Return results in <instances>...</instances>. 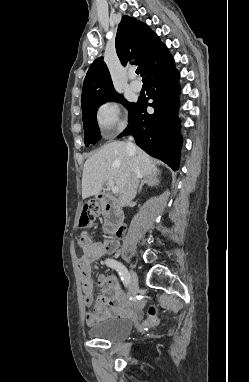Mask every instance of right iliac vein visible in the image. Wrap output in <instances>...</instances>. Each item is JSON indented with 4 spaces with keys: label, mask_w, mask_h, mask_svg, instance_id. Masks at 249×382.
Wrapping results in <instances>:
<instances>
[{
    "label": "right iliac vein",
    "mask_w": 249,
    "mask_h": 382,
    "mask_svg": "<svg viewBox=\"0 0 249 382\" xmlns=\"http://www.w3.org/2000/svg\"><path fill=\"white\" fill-rule=\"evenodd\" d=\"M138 289V277L134 271L130 272L129 293L134 294Z\"/></svg>",
    "instance_id": "63e3f726"
}]
</instances>
